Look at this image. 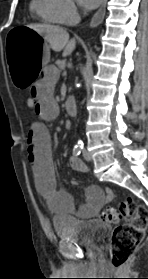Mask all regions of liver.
<instances>
[{
    "label": "liver",
    "instance_id": "1",
    "mask_svg": "<svg viewBox=\"0 0 148 279\" xmlns=\"http://www.w3.org/2000/svg\"><path fill=\"white\" fill-rule=\"evenodd\" d=\"M27 27L43 36L55 52L63 50L64 57L70 55L75 50V39L69 40V34L62 27L45 24H32Z\"/></svg>",
    "mask_w": 148,
    "mask_h": 279
}]
</instances>
